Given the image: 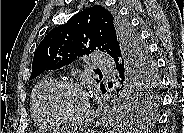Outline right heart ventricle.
<instances>
[{"label":"right heart ventricle","mask_w":184,"mask_h":133,"mask_svg":"<svg viewBox=\"0 0 184 133\" xmlns=\"http://www.w3.org/2000/svg\"><path fill=\"white\" fill-rule=\"evenodd\" d=\"M57 82L54 76H46L42 78L35 86L31 97V111L35 121L43 127H51L55 123L46 114L44 109V96L47 90Z\"/></svg>","instance_id":"e07e8e85"}]
</instances>
